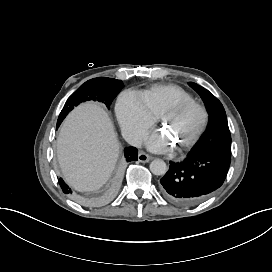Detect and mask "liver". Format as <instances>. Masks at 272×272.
<instances>
[{
    "mask_svg": "<svg viewBox=\"0 0 272 272\" xmlns=\"http://www.w3.org/2000/svg\"><path fill=\"white\" fill-rule=\"evenodd\" d=\"M57 149L66 182L79 191H91L109 178L119 146L108 114L97 104L89 103L66 119Z\"/></svg>",
    "mask_w": 272,
    "mask_h": 272,
    "instance_id": "1",
    "label": "liver"
}]
</instances>
